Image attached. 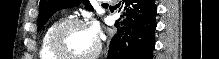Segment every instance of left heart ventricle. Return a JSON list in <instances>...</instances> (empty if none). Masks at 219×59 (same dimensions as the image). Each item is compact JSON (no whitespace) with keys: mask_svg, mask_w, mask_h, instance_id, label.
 Returning <instances> with one entry per match:
<instances>
[{"mask_svg":"<svg viewBox=\"0 0 219 59\" xmlns=\"http://www.w3.org/2000/svg\"><path fill=\"white\" fill-rule=\"evenodd\" d=\"M63 44L67 52L73 55H85L94 50L96 39L85 26H72L64 34Z\"/></svg>","mask_w":219,"mask_h":59,"instance_id":"left-heart-ventricle-1","label":"left heart ventricle"}]
</instances>
